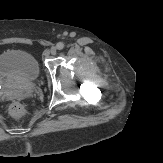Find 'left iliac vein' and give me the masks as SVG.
Here are the masks:
<instances>
[{
  "mask_svg": "<svg viewBox=\"0 0 163 163\" xmlns=\"http://www.w3.org/2000/svg\"><path fill=\"white\" fill-rule=\"evenodd\" d=\"M50 53L52 55H55L57 53V48L56 47H52L51 50H50Z\"/></svg>",
  "mask_w": 163,
  "mask_h": 163,
  "instance_id": "1",
  "label": "left iliac vein"
}]
</instances>
